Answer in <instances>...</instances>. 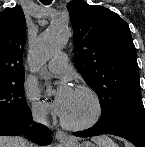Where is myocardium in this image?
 Masks as SVG:
<instances>
[{
	"instance_id": "1",
	"label": "myocardium",
	"mask_w": 145,
	"mask_h": 147,
	"mask_svg": "<svg viewBox=\"0 0 145 147\" xmlns=\"http://www.w3.org/2000/svg\"><path fill=\"white\" fill-rule=\"evenodd\" d=\"M77 91L87 94L92 100L94 110L90 118L83 122L72 123L67 121L64 117H61V125L71 131H83L95 126L103 116V105L102 102L94 89L87 85H79L76 88Z\"/></svg>"
}]
</instances>
